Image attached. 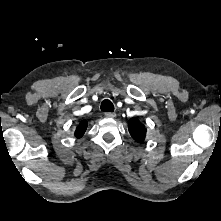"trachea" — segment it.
I'll return each mask as SVG.
<instances>
[{
    "instance_id": "trachea-1",
    "label": "trachea",
    "mask_w": 221,
    "mask_h": 221,
    "mask_svg": "<svg viewBox=\"0 0 221 221\" xmlns=\"http://www.w3.org/2000/svg\"><path fill=\"white\" fill-rule=\"evenodd\" d=\"M101 110L104 111V112H113L114 111V105L110 100L105 99L101 103Z\"/></svg>"
}]
</instances>
